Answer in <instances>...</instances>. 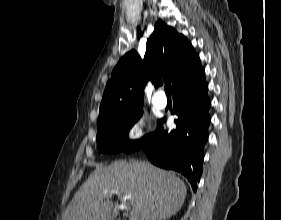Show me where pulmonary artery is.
I'll return each instance as SVG.
<instances>
[{"label":"pulmonary artery","mask_w":281,"mask_h":220,"mask_svg":"<svg viewBox=\"0 0 281 220\" xmlns=\"http://www.w3.org/2000/svg\"><path fill=\"white\" fill-rule=\"evenodd\" d=\"M153 104L159 108L163 109L167 105V98L162 90H158L153 97Z\"/></svg>","instance_id":"obj_1"}]
</instances>
